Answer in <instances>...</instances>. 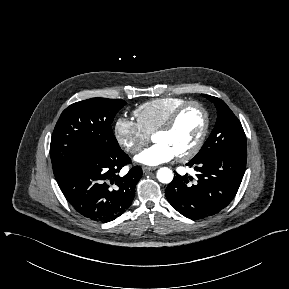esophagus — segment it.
<instances>
[{"label": "esophagus", "instance_id": "34e87169", "mask_svg": "<svg viewBox=\"0 0 289 289\" xmlns=\"http://www.w3.org/2000/svg\"><path fill=\"white\" fill-rule=\"evenodd\" d=\"M156 169V167H148V166H143L142 170L144 173L146 172H150V171H154Z\"/></svg>", "mask_w": 289, "mask_h": 289}]
</instances>
